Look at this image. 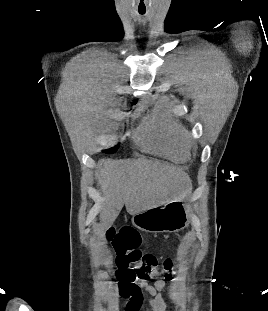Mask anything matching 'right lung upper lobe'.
I'll list each match as a JSON object with an SVG mask.
<instances>
[{
    "label": "right lung upper lobe",
    "mask_w": 268,
    "mask_h": 311,
    "mask_svg": "<svg viewBox=\"0 0 268 311\" xmlns=\"http://www.w3.org/2000/svg\"><path fill=\"white\" fill-rule=\"evenodd\" d=\"M135 103H136V100L133 101V104H135Z\"/></svg>",
    "instance_id": "right-lung-upper-lobe-1"
}]
</instances>
